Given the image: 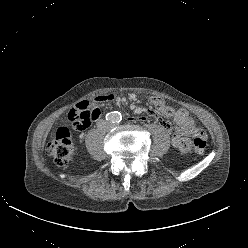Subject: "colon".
<instances>
[{"instance_id":"5ec220e1","label":"colon","mask_w":248,"mask_h":248,"mask_svg":"<svg viewBox=\"0 0 248 248\" xmlns=\"http://www.w3.org/2000/svg\"><path fill=\"white\" fill-rule=\"evenodd\" d=\"M101 101H108L111 96H100ZM98 114V107L88 101H82L74 105L67 114V119L72 127L79 131L88 129ZM207 145L206 133L202 129H197L193 134V150L197 154H202ZM74 142L70 130L65 126H60L53 138L47 145L48 154L54 161L65 166L69 164L74 155Z\"/></svg>"}]
</instances>
